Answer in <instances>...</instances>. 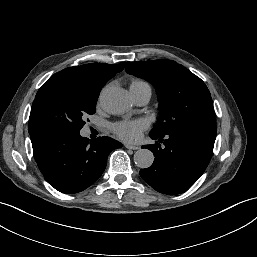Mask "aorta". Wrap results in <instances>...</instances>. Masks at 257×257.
I'll return each instance as SVG.
<instances>
[{
  "instance_id": "aorta-1",
  "label": "aorta",
  "mask_w": 257,
  "mask_h": 257,
  "mask_svg": "<svg viewBox=\"0 0 257 257\" xmlns=\"http://www.w3.org/2000/svg\"><path fill=\"white\" fill-rule=\"evenodd\" d=\"M100 102L104 110L111 114H122L131 105L128 92L116 86L104 88L100 95ZM153 161L154 155L148 149H139L134 154V162L139 168H148Z\"/></svg>"
}]
</instances>
